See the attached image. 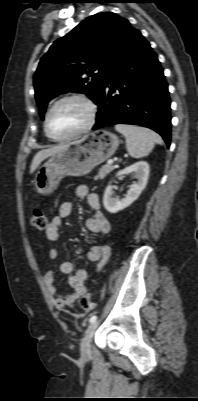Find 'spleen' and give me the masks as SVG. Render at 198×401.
I'll return each mask as SVG.
<instances>
[{"mask_svg": "<svg viewBox=\"0 0 198 401\" xmlns=\"http://www.w3.org/2000/svg\"><path fill=\"white\" fill-rule=\"evenodd\" d=\"M115 129L125 136L127 151L136 159L147 156L155 144H163L160 135L144 127L118 124Z\"/></svg>", "mask_w": 198, "mask_h": 401, "instance_id": "3e777b00", "label": "spleen"}]
</instances>
